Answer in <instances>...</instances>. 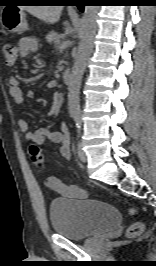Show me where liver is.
<instances>
[{
    "label": "liver",
    "instance_id": "1",
    "mask_svg": "<svg viewBox=\"0 0 156 266\" xmlns=\"http://www.w3.org/2000/svg\"><path fill=\"white\" fill-rule=\"evenodd\" d=\"M21 9L45 23L54 24L59 20L63 6H25Z\"/></svg>",
    "mask_w": 156,
    "mask_h": 266
}]
</instances>
